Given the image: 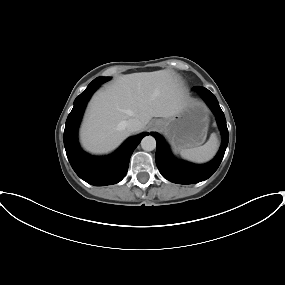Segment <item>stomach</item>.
Here are the masks:
<instances>
[{"mask_svg": "<svg viewBox=\"0 0 285 285\" xmlns=\"http://www.w3.org/2000/svg\"><path fill=\"white\" fill-rule=\"evenodd\" d=\"M161 131L176 151L198 147L206 139L208 130V109L199 101H191L173 117L159 120Z\"/></svg>", "mask_w": 285, "mask_h": 285, "instance_id": "obj_1", "label": "stomach"}]
</instances>
